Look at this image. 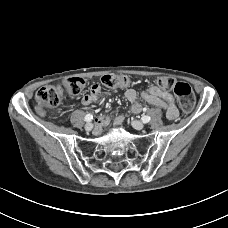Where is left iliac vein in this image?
I'll list each match as a JSON object with an SVG mask.
<instances>
[{
	"instance_id": "left-iliac-vein-1",
	"label": "left iliac vein",
	"mask_w": 228,
	"mask_h": 228,
	"mask_svg": "<svg viewBox=\"0 0 228 228\" xmlns=\"http://www.w3.org/2000/svg\"><path fill=\"white\" fill-rule=\"evenodd\" d=\"M131 125L136 130H143L144 129V124L140 121H132Z\"/></svg>"
}]
</instances>
